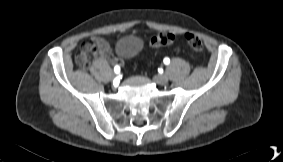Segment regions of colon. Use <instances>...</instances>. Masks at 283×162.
<instances>
[{
  "label": "colon",
  "mask_w": 283,
  "mask_h": 162,
  "mask_svg": "<svg viewBox=\"0 0 283 162\" xmlns=\"http://www.w3.org/2000/svg\"><path fill=\"white\" fill-rule=\"evenodd\" d=\"M184 39L192 49L196 51L202 50L203 43L196 35L192 33H187L184 35ZM174 40L175 36L173 34L164 32L155 36L151 41V45L155 48L164 47L172 44ZM75 61L77 65L81 67H86L89 63V54L80 52L76 56Z\"/></svg>",
  "instance_id": "colon-1"
}]
</instances>
